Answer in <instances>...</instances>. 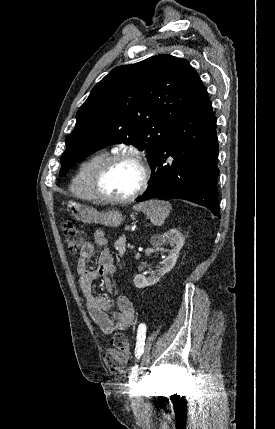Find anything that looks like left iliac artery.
<instances>
[{
	"label": "left iliac artery",
	"instance_id": "1",
	"mask_svg": "<svg viewBox=\"0 0 275 429\" xmlns=\"http://www.w3.org/2000/svg\"><path fill=\"white\" fill-rule=\"evenodd\" d=\"M146 331H147L146 324L145 323H141L138 326L137 342H136V347H135V353H136L137 359L140 358V356L142 355V353L144 351ZM137 375H138V365L136 364V365H134L132 367V370L130 372V376H129V383H130V385H134L136 383Z\"/></svg>",
	"mask_w": 275,
	"mask_h": 429
}]
</instances>
